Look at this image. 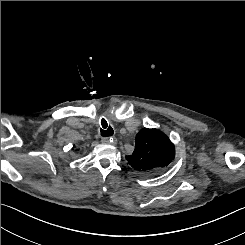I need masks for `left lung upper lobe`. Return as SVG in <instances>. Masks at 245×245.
<instances>
[{
	"mask_svg": "<svg viewBox=\"0 0 245 245\" xmlns=\"http://www.w3.org/2000/svg\"><path fill=\"white\" fill-rule=\"evenodd\" d=\"M174 157V145L163 132L144 128L137 133L135 149L126 160L139 174L150 176L165 171Z\"/></svg>",
	"mask_w": 245,
	"mask_h": 245,
	"instance_id": "obj_1",
	"label": "left lung upper lobe"
}]
</instances>
